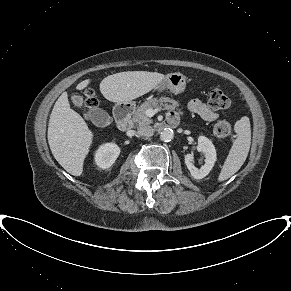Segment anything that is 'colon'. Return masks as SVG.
<instances>
[{"instance_id": "obj_1", "label": "colon", "mask_w": 291, "mask_h": 291, "mask_svg": "<svg viewBox=\"0 0 291 291\" xmlns=\"http://www.w3.org/2000/svg\"><path fill=\"white\" fill-rule=\"evenodd\" d=\"M85 104L88 108H93L97 104V100L92 91H87ZM208 104L213 110L225 109L230 105V99L220 89L211 91L208 99ZM214 133L218 137H226L231 133V125L226 120H220L214 125Z\"/></svg>"}]
</instances>
